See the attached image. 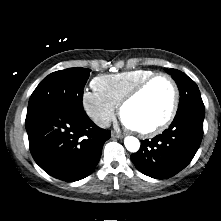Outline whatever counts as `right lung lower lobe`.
Listing matches in <instances>:
<instances>
[{
	"label": "right lung lower lobe",
	"mask_w": 221,
	"mask_h": 221,
	"mask_svg": "<svg viewBox=\"0 0 221 221\" xmlns=\"http://www.w3.org/2000/svg\"><path fill=\"white\" fill-rule=\"evenodd\" d=\"M35 162L49 175L74 182L90 175L110 136L84 109L50 107L28 113L25 121Z\"/></svg>",
	"instance_id": "obj_1"
}]
</instances>
